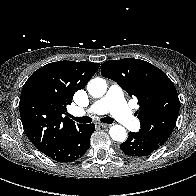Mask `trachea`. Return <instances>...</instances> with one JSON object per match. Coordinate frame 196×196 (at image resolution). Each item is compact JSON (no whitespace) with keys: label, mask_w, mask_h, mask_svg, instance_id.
I'll return each instance as SVG.
<instances>
[{"label":"trachea","mask_w":196,"mask_h":196,"mask_svg":"<svg viewBox=\"0 0 196 196\" xmlns=\"http://www.w3.org/2000/svg\"><path fill=\"white\" fill-rule=\"evenodd\" d=\"M69 117L79 123L82 124H87V123H91L92 119L88 116H84V117H74L72 115H69ZM101 122L103 123H107V124H112L114 122L113 118L111 117H103L100 119Z\"/></svg>","instance_id":"1"}]
</instances>
